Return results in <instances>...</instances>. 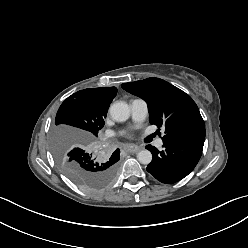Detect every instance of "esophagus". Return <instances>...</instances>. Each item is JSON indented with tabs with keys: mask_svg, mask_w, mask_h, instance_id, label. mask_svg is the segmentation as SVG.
I'll return each instance as SVG.
<instances>
[{
	"mask_svg": "<svg viewBox=\"0 0 248 248\" xmlns=\"http://www.w3.org/2000/svg\"><path fill=\"white\" fill-rule=\"evenodd\" d=\"M141 148L137 145H130L128 150L132 153L138 152Z\"/></svg>",
	"mask_w": 248,
	"mask_h": 248,
	"instance_id": "esophagus-1",
	"label": "esophagus"
}]
</instances>
